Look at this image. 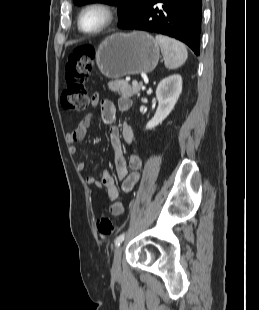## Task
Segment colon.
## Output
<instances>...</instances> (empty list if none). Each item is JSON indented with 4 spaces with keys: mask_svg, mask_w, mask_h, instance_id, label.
Returning <instances> with one entry per match:
<instances>
[{
    "mask_svg": "<svg viewBox=\"0 0 259 310\" xmlns=\"http://www.w3.org/2000/svg\"><path fill=\"white\" fill-rule=\"evenodd\" d=\"M94 48L84 44L76 47L67 58L66 86L61 95V106L67 111L81 112L86 109L89 102L87 81L94 66ZM97 229L100 234L109 236L118 226L108 217L102 216L97 221Z\"/></svg>",
    "mask_w": 259,
    "mask_h": 310,
    "instance_id": "obj_1",
    "label": "colon"
}]
</instances>
